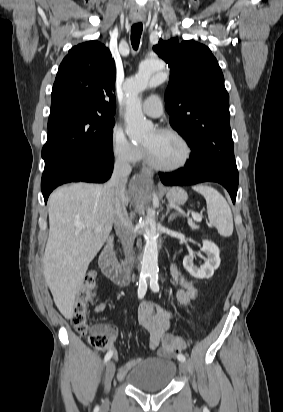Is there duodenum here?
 <instances>
[{"label": "duodenum", "instance_id": "duodenum-1", "mask_svg": "<svg viewBox=\"0 0 283 412\" xmlns=\"http://www.w3.org/2000/svg\"><path fill=\"white\" fill-rule=\"evenodd\" d=\"M99 263L105 276L116 285H126L133 278V266L128 263L119 264L113 255L110 242L102 250Z\"/></svg>", "mask_w": 283, "mask_h": 412}]
</instances>
